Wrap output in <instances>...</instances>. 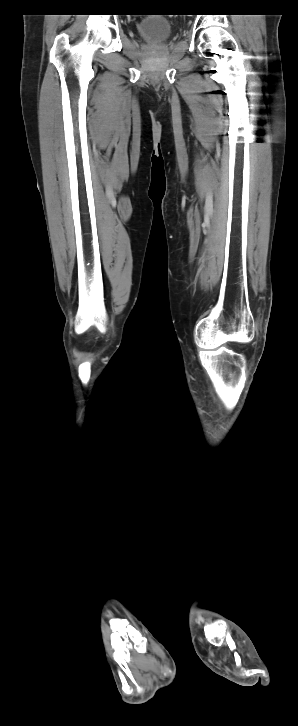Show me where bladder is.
I'll use <instances>...</instances> for the list:
<instances>
[{"mask_svg": "<svg viewBox=\"0 0 298 726\" xmlns=\"http://www.w3.org/2000/svg\"><path fill=\"white\" fill-rule=\"evenodd\" d=\"M136 28L138 34L144 40L153 43L166 41L172 33L170 21L157 14H151L141 18Z\"/></svg>", "mask_w": 298, "mask_h": 726, "instance_id": "obj_1", "label": "bladder"}]
</instances>
